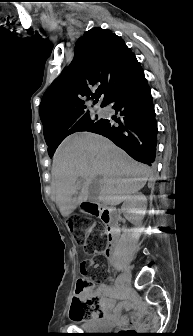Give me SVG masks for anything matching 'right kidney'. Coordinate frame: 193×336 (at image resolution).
<instances>
[{
  "mask_svg": "<svg viewBox=\"0 0 193 336\" xmlns=\"http://www.w3.org/2000/svg\"><path fill=\"white\" fill-rule=\"evenodd\" d=\"M147 207V198L143 194L139 193L133 196H129L125 199L122 209L132 215V219L141 220Z\"/></svg>",
  "mask_w": 193,
  "mask_h": 336,
  "instance_id": "right-kidney-1",
  "label": "right kidney"
}]
</instances>
